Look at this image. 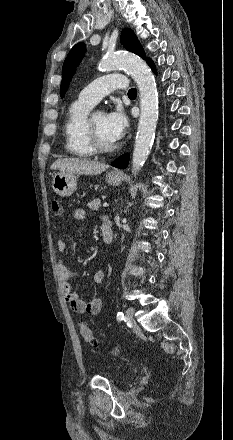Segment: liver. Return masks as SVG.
I'll return each instance as SVG.
<instances>
[{
    "instance_id": "6515ba94",
    "label": "liver",
    "mask_w": 233,
    "mask_h": 440,
    "mask_svg": "<svg viewBox=\"0 0 233 440\" xmlns=\"http://www.w3.org/2000/svg\"><path fill=\"white\" fill-rule=\"evenodd\" d=\"M109 168V165L81 158L57 159L52 165V170L63 173L97 175Z\"/></svg>"
}]
</instances>
